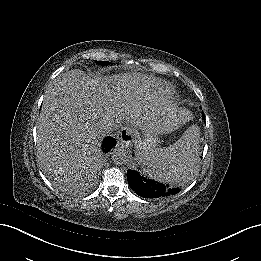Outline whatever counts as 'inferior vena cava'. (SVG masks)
Returning <instances> with one entry per match:
<instances>
[{"instance_id":"obj_1","label":"inferior vena cava","mask_w":261,"mask_h":261,"mask_svg":"<svg viewBox=\"0 0 261 261\" xmlns=\"http://www.w3.org/2000/svg\"><path fill=\"white\" fill-rule=\"evenodd\" d=\"M118 125H116L115 123H109L105 126V133L106 134H112L113 132H115L118 129Z\"/></svg>"}]
</instances>
